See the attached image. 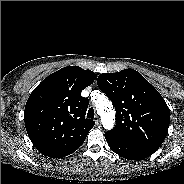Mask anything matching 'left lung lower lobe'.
<instances>
[{
	"label": "left lung lower lobe",
	"mask_w": 184,
	"mask_h": 184,
	"mask_svg": "<svg viewBox=\"0 0 184 184\" xmlns=\"http://www.w3.org/2000/svg\"><path fill=\"white\" fill-rule=\"evenodd\" d=\"M105 138L112 151L128 160L145 159L153 153L143 147L124 141L109 132L105 133Z\"/></svg>",
	"instance_id": "0a47b994"
}]
</instances>
